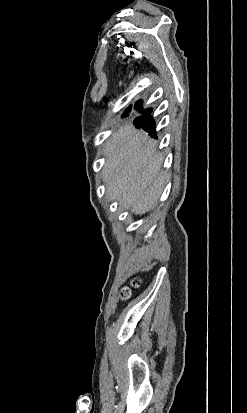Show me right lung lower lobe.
I'll list each match as a JSON object with an SVG mask.
<instances>
[{
    "label": "right lung lower lobe",
    "mask_w": 247,
    "mask_h": 413,
    "mask_svg": "<svg viewBox=\"0 0 247 413\" xmlns=\"http://www.w3.org/2000/svg\"><path fill=\"white\" fill-rule=\"evenodd\" d=\"M142 103L137 102L135 105L136 109H141ZM131 110V108H128L127 111L124 113V116H128V112ZM151 114V109H146L143 111L142 115L135 118L134 120V125L137 128H143L146 130L150 136L156 138V131H155V122L152 118Z\"/></svg>",
    "instance_id": "right-lung-lower-lobe-1"
}]
</instances>
